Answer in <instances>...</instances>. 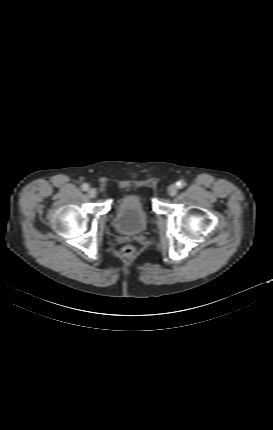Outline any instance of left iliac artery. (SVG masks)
I'll return each mask as SVG.
<instances>
[{
	"label": "left iliac artery",
	"mask_w": 273,
	"mask_h": 430,
	"mask_svg": "<svg viewBox=\"0 0 273 430\" xmlns=\"http://www.w3.org/2000/svg\"><path fill=\"white\" fill-rule=\"evenodd\" d=\"M185 185H186V183L184 181L177 182V187L180 189L183 188Z\"/></svg>",
	"instance_id": "left-iliac-artery-1"
}]
</instances>
